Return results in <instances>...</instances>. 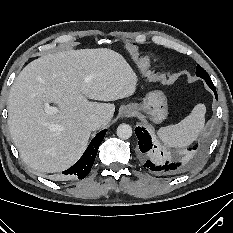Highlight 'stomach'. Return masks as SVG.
<instances>
[{
	"mask_svg": "<svg viewBox=\"0 0 233 233\" xmlns=\"http://www.w3.org/2000/svg\"><path fill=\"white\" fill-rule=\"evenodd\" d=\"M138 108L145 111L152 121L161 122L168 114L167 98L161 90L150 91Z\"/></svg>",
	"mask_w": 233,
	"mask_h": 233,
	"instance_id": "0dacf381",
	"label": "stomach"
}]
</instances>
